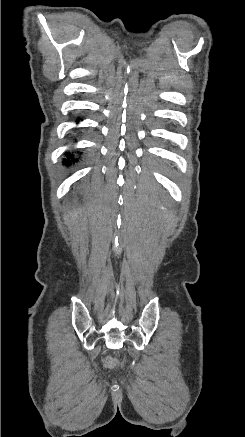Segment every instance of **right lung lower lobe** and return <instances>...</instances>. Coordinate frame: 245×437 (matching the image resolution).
I'll return each mask as SVG.
<instances>
[{
	"label": "right lung lower lobe",
	"instance_id": "right-lung-lower-lobe-1",
	"mask_svg": "<svg viewBox=\"0 0 245 437\" xmlns=\"http://www.w3.org/2000/svg\"><path fill=\"white\" fill-rule=\"evenodd\" d=\"M65 156H66V159L63 161V163L65 164V165H71L74 161H75V159L73 158V156H72V154L71 153H69V152H67L66 154H65Z\"/></svg>",
	"mask_w": 245,
	"mask_h": 437
}]
</instances>
